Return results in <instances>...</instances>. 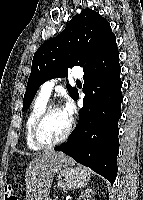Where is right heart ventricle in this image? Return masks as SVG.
<instances>
[{"label":"right heart ventricle","instance_id":"e07e8e85","mask_svg":"<svg viewBox=\"0 0 143 200\" xmlns=\"http://www.w3.org/2000/svg\"><path fill=\"white\" fill-rule=\"evenodd\" d=\"M48 104V98L42 96L40 93L35 98L30 111L28 113L26 123H25V141L29 149L34 151H39L43 148L38 147L34 144L32 137H31V129L33 126L34 121L38 117V115L41 113V111L45 108V106Z\"/></svg>","mask_w":143,"mask_h":200}]
</instances>
